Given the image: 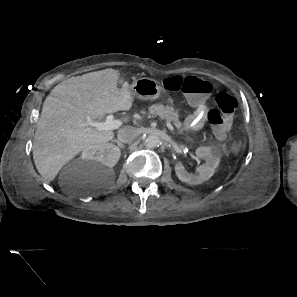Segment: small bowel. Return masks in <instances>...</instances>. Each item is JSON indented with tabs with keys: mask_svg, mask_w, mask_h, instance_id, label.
<instances>
[{
	"mask_svg": "<svg viewBox=\"0 0 297 297\" xmlns=\"http://www.w3.org/2000/svg\"><path fill=\"white\" fill-rule=\"evenodd\" d=\"M192 102L194 103L196 110L184 120V126L192 130H198L203 127L207 120L208 108L203 100L198 103L194 101Z\"/></svg>",
	"mask_w": 297,
	"mask_h": 297,
	"instance_id": "1",
	"label": "small bowel"
}]
</instances>
